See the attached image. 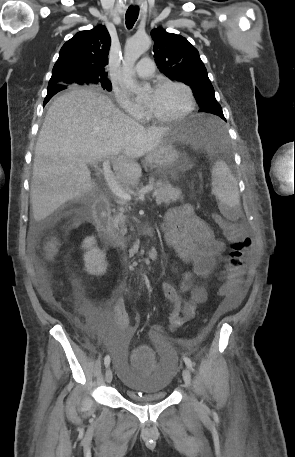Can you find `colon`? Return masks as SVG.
I'll use <instances>...</instances> for the list:
<instances>
[{
    "mask_svg": "<svg viewBox=\"0 0 295 457\" xmlns=\"http://www.w3.org/2000/svg\"><path fill=\"white\" fill-rule=\"evenodd\" d=\"M217 221L230 245L229 254L222 272V277L226 280L222 295L229 298L234 296L241 284L245 258L251 247V239L245 234L242 224L228 222L219 216ZM56 249L57 242L50 240L46 246L47 255L53 257ZM131 359V372H155L153 346H133Z\"/></svg>",
    "mask_w": 295,
    "mask_h": 457,
    "instance_id": "1",
    "label": "colon"
}]
</instances>
